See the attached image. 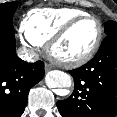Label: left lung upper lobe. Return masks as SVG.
Listing matches in <instances>:
<instances>
[{
	"mask_svg": "<svg viewBox=\"0 0 117 117\" xmlns=\"http://www.w3.org/2000/svg\"><path fill=\"white\" fill-rule=\"evenodd\" d=\"M104 30L106 35H108L112 31L117 30V23L114 21H107L104 25Z\"/></svg>",
	"mask_w": 117,
	"mask_h": 117,
	"instance_id": "obj_1",
	"label": "left lung upper lobe"
}]
</instances>
